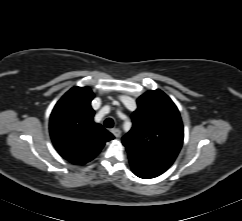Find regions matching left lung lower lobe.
Masks as SVG:
<instances>
[{
    "label": "left lung lower lobe",
    "instance_id": "obj_1",
    "mask_svg": "<svg viewBox=\"0 0 242 221\" xmlns=\"http://www.w3.org/2000/svg\"><path fill=\"white\" fill-rule=\"evenodd\" d=\"M132 171L140 178H154L168 169V166L128 155Z\"/></svg>",
    "mask_w": 242,
    "mask_h": 221
}]
</instances>
